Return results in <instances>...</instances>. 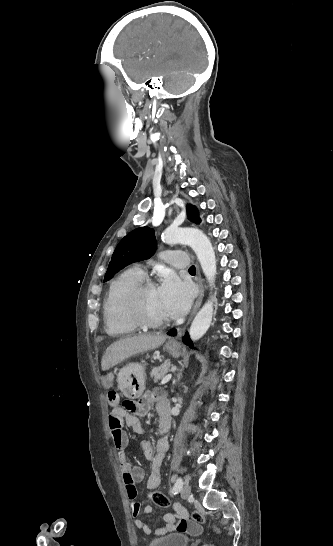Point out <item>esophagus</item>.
Wrapping results in <instances>:
<instances>
[{"mask_svg": "<svg viewBox=\"0 0 333 546\" xmlns=\"http://www.w3.org/2000/svg\"><path fill=\"white\" fill-rule=\"evenodd\" d=\"M197 282H198V286H199V296H198V299L194 305V308H193V311H192V314L188 320V323L191 321V319L193 318V316L195 315V313L197 312V310L199 309L201 303H202V300H203V297H204V285H203V280L201 278V275H200V271H199V268H197Z\"/></svg>", "mask_w": 333, "mask_h": 546, "instance_id": "obj_1", "label": "esophagus"}]
</instances>
